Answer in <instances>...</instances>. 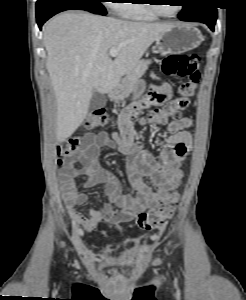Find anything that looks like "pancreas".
I'll return each mask as SVG.
<instances>
[{"mask_svg": "<svg viewBox=\"0 0 246 300\" xmlns=\"http://www.w3.org/2000/svg\"><path fill=\"white\" fill-rule=\"evenodd\" d=\"M149 64H150L149 60L139 61L136 64V66L126 75V77L122 79L119 88L121 89L124 95L126 96L129 95V93L135 87L138 79L144 75Z\"/></svg>", "mask_w": 246, "mask_h": 300, "instance_id": "1", "label": "pancreas"}]
</instances>
